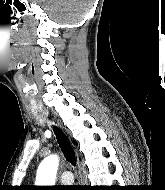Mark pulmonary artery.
<instances>
[{"instance_id": "e3ab8cb5", "label": "pulmonary artery", "mask_w": 165, "mask_h": 190, "mask_svg": "<svg viewBox=\"0 0 165 190\" xmlns=\"http://www.w3.org/2000/svg\"><path fill=\"white\" fill-rule=\"evenodd\" d=\"M74 177L71 171H63L60 176V181L65 184L69 185L73 182Z\"/></svg>"}]
</instances>
